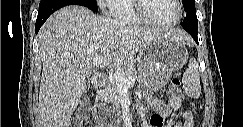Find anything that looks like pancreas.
Masks as SVG:
<instances>
[{
  "label": "pancreas",
  "mask_w": 243,
  "mask_h": 127,
  "mask_svg": "<svg viewBox=\"0 0 243 127\" xmlns=\"http://www.w3.org/2000/svg\"><path fill=\"white\" fill-rule=\"evenodd\" d=\"M118 72L123 74L127 79L132 76L137 80L141 79V75L139 74V71L134 64L126 65L123 68H121ZM119 92H120V86L115 81L114 76H112L109 79L105 88L101 91L100 99L101 101L104 102L103 104L105 106H109V104H111V106H109L110 109L113 110L116 109L119 111L120 110Z\"/></svg>",
  "instance_id": "1"
}]
</instances>
